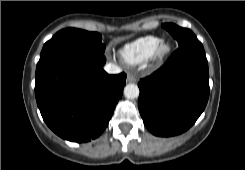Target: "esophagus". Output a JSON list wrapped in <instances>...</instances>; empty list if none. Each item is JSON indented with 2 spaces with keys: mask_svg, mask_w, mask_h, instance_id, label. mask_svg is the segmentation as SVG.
<instances>
[{
  "mask_svg": "<svg viewBox=\"0 0 245 170\" xmlns=\"http://www.w3.org/2000/svg\"><path fill=\"white\" fill-rule=\"evenodd\" d=\"M127 81L128 82H136V76L133 73H128Z\"/></svg>",
  "mask_w": 245,
  "mask_h": 170,
  "instance_id": "34e87169",
  "label": "esophagus"
}]
</instances>
